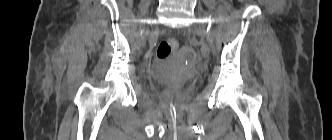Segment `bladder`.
Instances as JSON below:
<instances>
[{
    "label": "bladder",
    "instance_id": "1",
    "mask_svg": "<svg viewBox=\"0 0 332 140\" xmlns=\"http://www.w3.org/2000/svg\"><path fill=\"white\" fill-rule=\"evenodd\" d=\"M158 97L160 100L165 101L168 99V94L166 92L158 93ZM187 99V95L185 93H181L176 97L177 103H183Z\"/></svg>",
    "mask_w": 332,
    "mask_h": 140
}]
</instances>
